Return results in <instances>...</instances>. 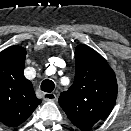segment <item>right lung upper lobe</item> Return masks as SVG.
I'll return each instance as SVG.
<instances>
[{
	"label": "right lung upper lobe",
	"instance_id": "cb5924a9",
	"mask_svg": "<svg viewBox=\"0 0 131 131\" xmlns=\"http://www.w3.org/2000/svg\"><path fill=\"white\" fill-rule=\"evenodd\" d=\"M26 49L11 46L0 53V122L15 127L42 102L24 76Z\"/></svg>",
	"mask_w": 131,
	"mask_h": 131
}]
</instances>
